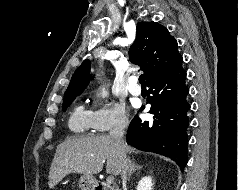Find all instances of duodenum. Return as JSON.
<instances>
[{"label": "duodenum", "mask_w": 238, "mask_h": 190, "mask_svg": "<svg viewBox=\"0 0 238 190\" xmlns=\"http://www.w3.org/2000/svg\"><path fill=\"white\" fill-rule=\"evenodd\" d=\"M94 190H114L111 186L104 183H96L94 185Z\"/></svg>", "instance_id": "duodenum-1"}]
</instances>
